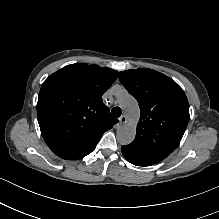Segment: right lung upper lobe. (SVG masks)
I'll list each match as a JSON object with an SVG mask.
<instances>
[{
	"mask_svg": "<svg viewBox=\"0 0 219 219\" xmlns=\"http://www.w3.org/2000/svg\"><path fill=\"white\" fill-rule=\"evenodd\" d=\"M108 67L71 64L43 83L37 103L41 134L49 148L67 160L91 153L102 134L118 122L102 102L117 79Z\"/></svg>",
	"mask_w": 219,
	"mask_h": 219,
	"instance_id": "obj_1",
	"label": "right lung upper lobe"
}]
</instances>
